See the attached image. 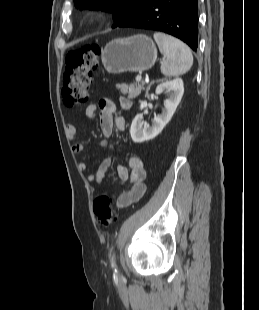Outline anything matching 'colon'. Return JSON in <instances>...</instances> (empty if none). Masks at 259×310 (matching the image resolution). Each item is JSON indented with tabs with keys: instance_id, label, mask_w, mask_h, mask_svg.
<instances>
[{
	"instance_id": "5ec220e1",
	"label": "colon",
	"mask_w": 259,
	"mask_h": 310,
	"mask_svg": "<svg viewBox=\"0 0 259 310\" xmlns=\"http://www.w3.org/2000/svg\"><path fill=\"white\" fill-rule=\"evenodd\" d=\"M100 47L86 44L71 50L66 56L62 97L70 106L84 105L89 100L93 72L99 63ZM93 211L101 225L108 227L116 221L112 198L101 194L93 201Z\"/></svg>"
}]
</instances>
